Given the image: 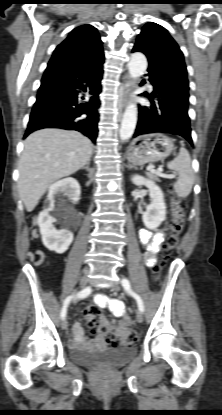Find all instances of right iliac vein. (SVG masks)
Here are the masks:
<instances>
[{
	"mask_svg": "<svg viewBox=\"0 0 222 415\" xmlns=\"http://www.w3.org/2000/svg\"><path fill=\"white\" fill-rule=\"evenodd\" d=\"M87 284H88V278H87V276H83L80 280L79 288L84 289L87 286ZM67 326H68V322H67L66 319H64L61 323V327H62V329H66Z\"/></svg>",
	"mask_w": 222,
	"mask_h": 415,
	"instance_id": "1",
	"label": "right iliac vein"
}]
</instances>
